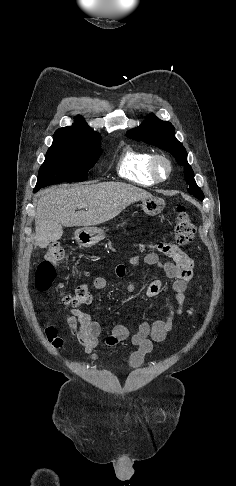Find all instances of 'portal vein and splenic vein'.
Here are the masks:
<instances>
[{
  "instance_id": "obj_1",
  "label": "portal vein and splenic vein",
  "mask_w": 236,
  "mask_h": 486,
  "mask_svg": "<svg viewBox=\"0 0 236 486\" xmlns=\"http://www.w3.org/2000/svg\"><path fill=\"white\" fill-rule=\"evenodd\" d=\"M79 209L84 208V206H78Z\"/></svg>"
}]
</instances>
